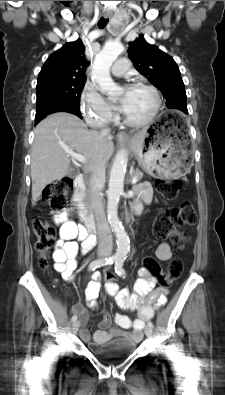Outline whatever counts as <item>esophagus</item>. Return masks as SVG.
I'll use <instances>...</instances> for the list:
<instances>
[{"instance_id":"34e87169","label":"esophagus","mask_w":225,"mask_h":395,"mask_svg":"<svg viewBox=\"0 0 225 395\" xmlns=\"http://www.w3.org/2000/svg\"><path fill=\"white\" fill-rule=\"evenodd\" d=\"M104 17L106 18V19H108V18H110L111 17V13H105L104 14ZM129 137H128V135L125 133V132H119L118 134H117V139L118 140H127Z\"/></svg>"}]
</instances>
